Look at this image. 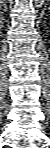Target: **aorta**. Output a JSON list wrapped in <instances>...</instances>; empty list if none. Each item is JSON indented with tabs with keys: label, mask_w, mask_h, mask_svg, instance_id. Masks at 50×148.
<instances>
[{
	"label": "aorta",
	"mask_w": 50,
	"mask_h": 148,
	"mask_svg": "<svg viewBox=\"0 0 50 148\" xmlns=\"http://www.w3.org/2000/svg\"><path fill=\"white\" fill-rule=\"evenodd\" d=\"M36 2H39L40 4H42L44 0H36Z\"/></svg>",
	"instance_id": "762f6f07"
}]
</instances>
